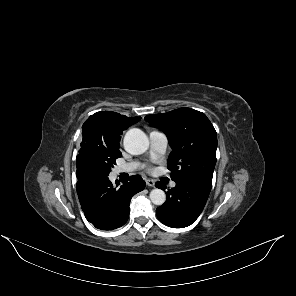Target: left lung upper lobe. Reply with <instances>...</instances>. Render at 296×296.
<instances>
[{"label": "left lung upper lobe", "instance_id": "1", "mask_svg": "<svg viewBox=\"0 0 296 296\" xmlns=\"http://www.w3.org/2000/svg\"><path fill=\"white\" fill-rule=\"evenodd\" d=\"M145 120L168 137L172 152L168 159L175 182H212L216 164L217 134L202 112L180 108L165 114L147 115Z\"/></svg>", "mask_w": 296, "mask_h": 296}]
</instances>
